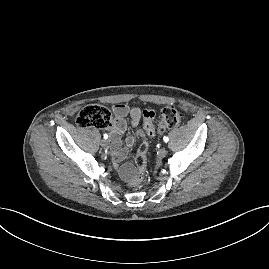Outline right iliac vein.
<instances>
[{
	"label": "right iliac vein",
	"mask_w": 269,
	"mask_h": 269,
	"mask_svg": "<svg viewBox=\"0 0 269 269\" xmlns=\"http://www.w3.org/2000/svg\"><path fill=\"white\" fill-rule=\"evenodd\" d=\"M107 145H108V141L106 139H103L101 141V146L105 148V147H107Z\"/></svg>",
	"instance_id": "63e3f726"
}]
</instances>
